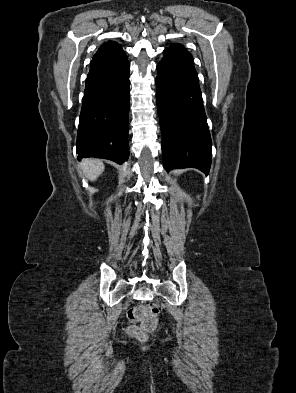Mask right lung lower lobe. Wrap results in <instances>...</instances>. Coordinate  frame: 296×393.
Here are the masks:
<instances>
[{
	"label": "right lung lower lobe",
	"instance_id": "right-lung-lower-lobe-1",
	"mask_svg": "<svg viewBox=\"0 0 296 393\" xmlns=\"http://www.w3.org/2000/svg\"><path fill=\"white\" fill-rule=\"evenodd\" d=\"M129 68L120 45L101 47L93 56L77 133L79 160L97 157L118 164L127 161Z\"/></svg>",
	"mask_w": 296,
	"mask_h": 393
}]
</instances>
